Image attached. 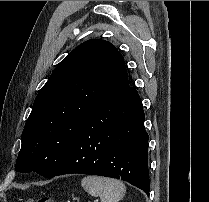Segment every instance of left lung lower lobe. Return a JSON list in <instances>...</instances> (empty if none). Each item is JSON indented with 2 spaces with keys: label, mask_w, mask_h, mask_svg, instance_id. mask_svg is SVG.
Segmentation results:
<instances>
[{
  "label": "left lung lower lobe",
  "mask_w": 209,
  "mask_h": 202,
  "mask_svg": "<svg viewBox=\"0 0 209 202\" xmlns=\"http://www.w3.org/2000/svg\"><path fill=\"white\" fill-rule=\"evenodd\" d=\"M147 162L143 106L137 90L129 87L87 118L52 177L80 173L118 178L149 195Z\"/></svg>",
  "instance_id": "1"
}]
</instances>
